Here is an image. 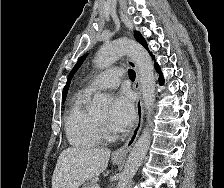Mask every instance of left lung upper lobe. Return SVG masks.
Listing matches in <instances>:
<instances>
[{
  "mask_svg": "<svg viewBox=\"0 0 224 188\" xmlns=\"http://www.w3.org/2000/svg\"><path fill=\"white\" fill-rule=\"evenodd\" d=\"M135 38L136 40L141 43L144 47L147 48V44H146V41L145 39L142 37V35L137 31L135 33ZM86 55L82 56L78 62L76 63V65L74 66V68L72 69L69 77H68V80H67V84L66 86L64 87V90H63V96H62V101L64 102L65 99H66V95H67V91H68V88H69V85H70V81H71V78L73 77L74 73L78 70V68L80 67V65L82 64V62L84 61Z\"/></svg>",
  "mask_w": 224,
  "mask_h": 188,
  "instance_id": "left-lung-upper-lobe-1",
  "label": "left lung upper lobe"
}]
</instances>
